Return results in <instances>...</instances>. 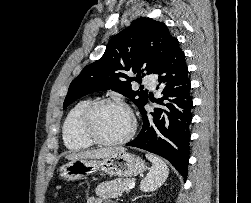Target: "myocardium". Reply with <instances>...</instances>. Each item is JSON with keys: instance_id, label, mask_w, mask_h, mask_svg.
<instances>
[{"instance_id": "myocardium-1", "label": "myocardium", "mask_w": 251, "mask_h": 203, "mask_svg": "<svg viewBox=\"0 0 251 203\" xmlns=\"http://www.w3.org/2000/svg\"><path fill=\"white\" fill-rule=\"evenodd\" d=\"M118 105L124 108L131 119L129 131L121 138L115 140H107L101 138L93 129V120L96 111L103 105ZM137 129V120L131 108L122 100L113 97L100 98L92 101L82 112L79 120V131L81 135L90 141L92 144L102 146H118L128 142L135 134Z\"/></svg>"}]
</instances>
